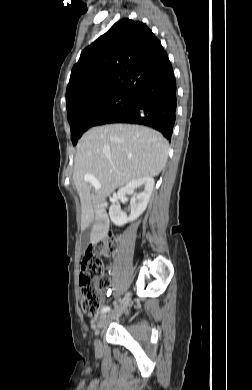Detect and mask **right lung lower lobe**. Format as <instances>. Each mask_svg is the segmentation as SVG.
<instances>
[{"label":"right lung lower lobe","instance_id":"obj_1","mask_svg":"<svg viewBox=\"0 0 252 390\" xmlns=\"http://www.w3.org/2000/svg\"><path fill=\"white\" fill-rule=\"evenodd\" d=\"M177 87L174 74L150 81L135 94L133 104L106 123L152 127L171 140L176 120Z\"/></svg>","mask_w":252,"mask_h":390}]
</instances>
